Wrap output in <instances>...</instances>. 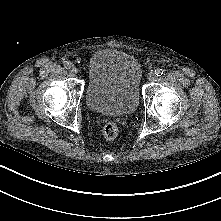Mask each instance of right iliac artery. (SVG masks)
<instances>
[{
  "label": "right iliac artery",
  "instance_id": "obj_1",
  "mask_svg": "<svg viewBox=\"0 0 221 221\" xmlns=\"http://www.w3.org/2000/svg\"><path fill=\"white\" fill-rule=\"evenodd\" d=\"M72 66H73V65H72V63H71L70 61H65V62H64V67H65L66 69H70Z\"/></svg>",
  "mask_w": 221,
  "mask_h": 221
}]
</instances>
